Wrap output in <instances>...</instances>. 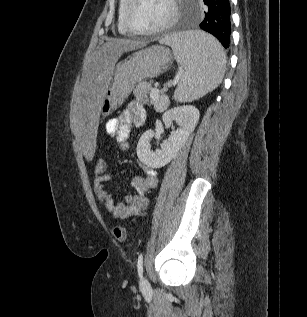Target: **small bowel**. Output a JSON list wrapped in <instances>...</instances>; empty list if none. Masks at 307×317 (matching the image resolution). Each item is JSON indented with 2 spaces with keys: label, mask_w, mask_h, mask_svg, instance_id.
<instances>
[{
  "label": "small bowel",
  "mask_w": 307,
  "mask_h": 317,
  "mask_svg": "<svg viewBox=\"0 0 307 317\" xmlns=\"http://www.w3.org/2000/svg\"><path fill=\"white\" fill-rule=\"evenodd\" d=\"M146 119V111L136 101L131 102L116 118L106 123V132L114 138L122 150L129 147L130 130L133 126H141ZM144 175L137 176L132 181L134 193L126 196L123 203H118L108 192L106 184L112 180L111 174L105 172L96 174L94 178V191L100 203L116 219H124L139 215L147 206L146 193L157 184V172L147 165H140Z\"/></svg>",
  "instance_id": "small-bowel-1"
}]
</instances>
